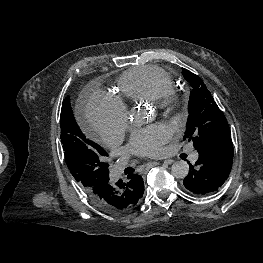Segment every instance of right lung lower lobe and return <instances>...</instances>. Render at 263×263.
Masks as SVG:
<instances>
[{"mask_svg": "<svg viewBox=\"0 0 263 263\" xmlns=\"http://www.w3.org/2000/svg\"><path fill=\"white\" fill-rule=\"evenodd\" d=\"M127 178L125 182L120 179L116 184H112L108 179L102 184L91 187L86 191L89 200L98 208L114 213L128 201L129 188L136 184H143L142 178L138 175L131 174Z\"/></svg>", "mask_w": 263, "mask_h": 263, "instance_id": "1", "label": "right lung lower lobe"}]
</instances>
